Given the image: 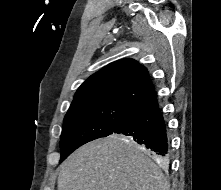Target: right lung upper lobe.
<instances>
[{
  "label": "right lung upper lobe",
  "mask_w": 221,
  "mask_h": 190,
  "mask_svg": "<svg viewBox=\"0 0 221 190\" xmlns=\"http://www.w3.org/2000/svg\"><path fill=\"white\" fill-rule=\"evenodd\" d=\"M155 96L147 69L133 59H122L90 76L76 91L71 106L116 103L136 109Z\"/></svg>",
  "instance_id": "obj_1"
}]
</instances>
